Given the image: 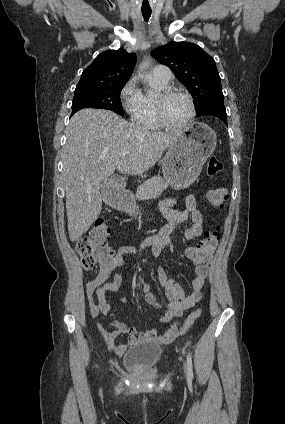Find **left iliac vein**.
<instances>
[{"mask_svg": "<svg viewBox=\"0 0 285 424\" xmlns=\"http://www.w3.org/2000/svg\"><path fill=\"white\" fill-rule=\"evenodd\" d=\"M185 372H186V367L184 366Z\"/></svg>", "mask_w": 285, "mask_h": 424, "instance_id": "left-iliac-vein-1", "label": "left iliac vein"}]
</instances>
